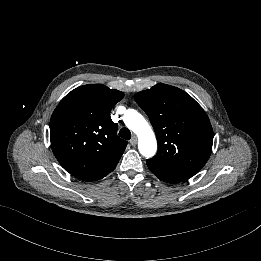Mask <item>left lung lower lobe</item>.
Returning <instances> with one entry per match:
<instances>
[{"label": "left lung lower lobe", "mask_w": 261, "mask_h": 261, "mask_svg": "<svg viewBox=\"0 0 261 261\" xmlns=\"http://www.w3.org/2000/svg\"><path fill=\"white\" fill-rule=\"evenodd\" d=\"M147 166L155 177L168 184L186 182L200 171L174 167L163 161H158L155 159L147 161Z\"/></svg>", "instance_id": "obj_1"}]
</instances>
